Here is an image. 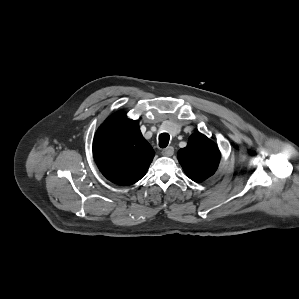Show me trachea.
Masks as SVG:
<instances>
[{
	"mask_svg": "<svg viewBox=\"0 0 299 299\" xmlns=\"http://www.w3.org/2000/svg\"><path fill=\"white\" fill-rule=\"evenodd\" d=\"M170 135L168 133H162L159 135V147L165 148L169 143Z\"/></svg>",
	"mask_w": 299,
	"mask_h": 299,
	"instance_id": "1",
	"label": "trachea"
}]
</instances>
